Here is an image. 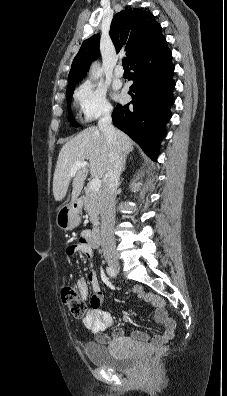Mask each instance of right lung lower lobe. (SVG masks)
I'll use <instances>...</instances> for the list:
<instances>
[{
    "label": "right lung lower lobe",
    "mask_w": 227,
    "mask_h": 396,
    "mask_svg": "<svg viewBox=\"0 0 227 396\" xmlns=\"http://www.w3.org/2000/svg\"><path fill=\"white\" fill-rule=\"evenodd\" d=\"M130 67L135 72L130 78L134 81L129 91L132 101L124 106L117 105L112 120L156 160L174 103V65L166 40L144 50Z\"/></svg>",
    "instance_id": "obj_1"
}]
</instances>
